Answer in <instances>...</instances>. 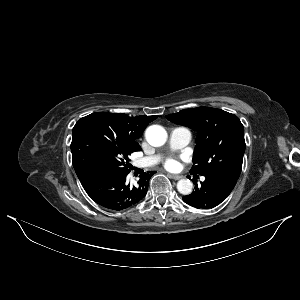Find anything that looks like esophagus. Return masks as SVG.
<instances>
[{"instance_id": "esophagus-1", "label": "esophagus", "mask_w": 300, "mask_h": 300, "mask_svg": "<svg viewBox=\"0 0 300 300\" xmlns=\"http://www.w3.org/2000/svg\"><path fill=\"white\" fill-rule=\"evenodd\" d=\"M168 176L174 180H179L182 178L181 175H175V174H168Z\"/></svg>"}]
</instances>
